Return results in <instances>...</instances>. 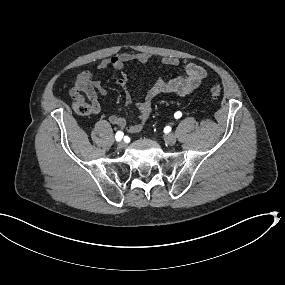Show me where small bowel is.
I'll use <instances>...</instances> for the list:
<instances>
[{"label":"small bowel","instance_id":"obj_1","mask_svg":"<svg viewBox=\"0 0 285 285\" xmlns=\"http://www.w3.org/2000/svg\"><path fill=\"white\" fill-rule=\"evenodd\" d=\"M149 59L150 55L148 53L125 52L103 59L99 63L98 68L104 70L111 67L115 70H122L129 62L137 61L145 64ZM161 62L164 65L172 67H176L180 64L178 58L171 56L162 58ZM206 75V70L200 65L192 61H184L183 74L181 76L171 80L158 79L148 89L144 99L136 103L138 122L127 125L126 120L117 114L111 115L109 117V122L117 127L127 129L131 134L139 133L151 115L152 102L157 96L165 93L176 94L178 96L189 95L203 83ZM117 84L125 91L124 106L126 108L131 106L133 104V99L127 90L126 79L124 77L119 78ZM69 93L74 100H84V96H86L91 102L94 113H98L100 111V105L97 100L98 95L105 96L107 90L91 72L82 71L74 78L73 86Z\"/></svg>","mask_w":285,"mask_h":285}]
</instances>
